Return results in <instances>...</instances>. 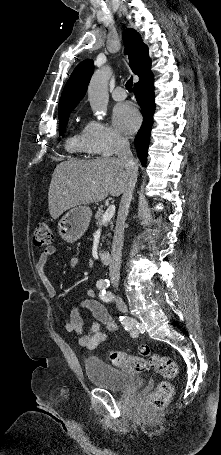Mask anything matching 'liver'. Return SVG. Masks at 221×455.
Wrapping results in <instances>:
<instances>
[{
	"label": "liver",
	"mask_w": 221,
	"mask_h": 455,
	"mask_svg": "<svg viewBox=\"0 0 221 455\" xmlns=\"http://www.w3.org/2000/svg\"><path fill=\"white\" fill-rule=\"evenodd\" d=\"M127 181L125 163L119 158L63 161L56 166L49 186L50 215L57 219L77 205L99 202L108 194L118 197Z\"/></svg>",
	"instance_id": "6515ba94"
}]
</instances>
